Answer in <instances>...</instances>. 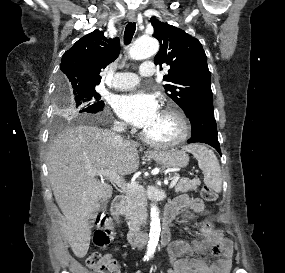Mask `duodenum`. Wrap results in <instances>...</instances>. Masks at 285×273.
<instances>
[{"instance_id":"duodenum-1","label":"duodenum","mask_w":285,"mask_h":273,"mask_svg":"<svg viewBox=\"0 0 285 273\" xmlns=\"http://www.w3.org/2000/svg\"><path fill=\"white\" fill-rule=\"evenodd\" d=\"M126 212V199L119 195L114 199L112 213L116 219H121ZM176 213L174 210H166L163 218V228L161 232V244L165 245L170 237L171 225ZM127 240L131 245H142L145 240V234L140 232L135 224H131L126 232Z\"/></svg>"}]
</instances>
